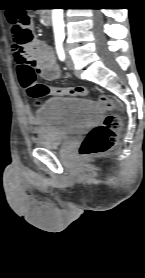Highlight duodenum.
Listing matches in <instances>:
<instances>
[{
  "mask_svg": "<svg viewBox=\"0 0 145 278\" xmlns=\"http://www.w3.org/2000/svg\"><path fill=\"white\" fill-rule=\"evenodd\" d=\"M43 20L46 24H50L51 23V13L50 11H48L44 16H43Z\"/></svg>",
  "mask_w": 145,
  "mask_h": 278,
  "instance_id": "duodenum-1",
  "label": "duodenum"
}]
</instances>
